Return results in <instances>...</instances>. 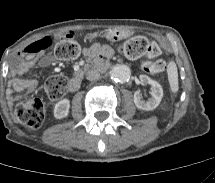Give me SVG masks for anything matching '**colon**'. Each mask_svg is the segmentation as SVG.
Listing matches in <instances>:
<instances>
[{"label": "colon", "instance_id": "obj_1", "mask_svg": "<svg viewBox=\"0 0 215 183\" xmlns=\"http://www.w3.org/2000/svg\"><path fill=\"white\" fill-rule=\"evenodd\" d=\"M52 46L50 41H39L32 46L33 52H40L49 49ZM121 53L129 58L136 59L141 56L150 58L157 57L160 54L159 45L145 37H134L125 42L120 47ZM55 55L62 60H73L79 57L81 53L80 44L72 35L57 43L54 48ZM166 62L163 59H152L143 62L142 68L150 74H157L165 70ZM67 79L63 76L52 77L46 85L47 93L50 98L58 99L67 90ZM15 116L17 120L27 128H39L45 118V105L39 98H30L19 102L15 107Z\"/></svg>", "mask_w": 215, "mask_h": 183}]
</instances>
